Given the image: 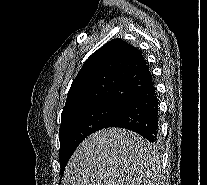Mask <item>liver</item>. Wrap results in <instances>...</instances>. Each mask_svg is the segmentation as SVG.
I'll return each mask as SVG.
<instances>
[{
	"mask_svg": "<svg viewBox=\"0 0 207 185\" xmlns=\"http://www.w3.org/2000/svg\"><path fill=\"white\" fill-rule=\"evenodd\" d=\"M151 143L128 129H101L74 151L62 185H147L159 171Z\"/></svg>",
	"mask_w": 207,
	"mask_h": 185,
	"instance_id": "1",
	"label": "liver"
}]
</instances>
